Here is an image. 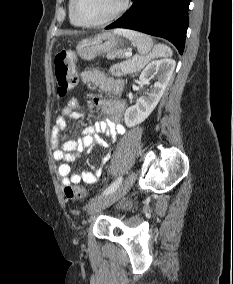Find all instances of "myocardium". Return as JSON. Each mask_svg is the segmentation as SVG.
<instances>
[{"label":"myocardium","instance_id":"myocardium-1","mask_svg":"<svg viewBox=\"0 0 233 284\" xmlns=\"http://www.w3.org/2000/svg\"><path fill=\"white\" fill-rule=\"evenodd\" d=\"M128 3L129 0H122L120 6L118 7V9L113 12L111 15H109L108 17L102 19V20H98V21H88L85 20L79 13L78 10V5H79V0H73V15L76 18V20L83 26H89V27H96V26H101L107 23H110L112 21H114L115 19H117L118 17H120L125 10L128 7Z\"/></svg>","mask_w":233,"mask_h":284}]
</instances>
